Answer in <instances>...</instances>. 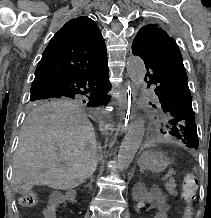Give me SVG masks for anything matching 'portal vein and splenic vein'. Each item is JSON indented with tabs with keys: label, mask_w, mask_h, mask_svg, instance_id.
<instances>
[{
	"label": "portal vein and splenic vein",
	"mask_w": 211,
	"mask_h": 218,
	"mask_svg": "<svg viewBox=\"0 0 211 218\" xmlns=\"http://www.w3.org/2000/svg\"><path fill=\"white\" fill-rule=\"evenodd\" d=\"M173 172H168L167 176H165V178H170V176H172Z\"/></svg>",
	"instance_id": "portal-vein-and-splenic-vein-1"
}]
</instances>
